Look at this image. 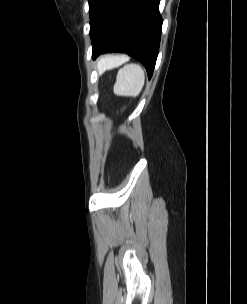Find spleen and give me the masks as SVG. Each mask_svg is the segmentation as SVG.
<instances>
[{"mask_svg":"<svg viewBox=\"0 0 247 304\" xmlns=\"http://www.w3.org/2000/svg\"><path fill=\"white\" fill-rule=\"evenodd\" d=\"M123 57H109L99 63L103 69L113 68L122 64ZM145 83L144 70L140 65L130 63L119 70L114 85V93L118 96L136 97L140 94Z\"/></svg>","mask_w":247,"mask_h":304,"instance_id":"obj_1","label":"spleen"}]
</instances>
